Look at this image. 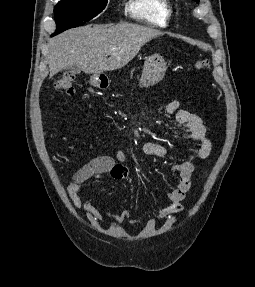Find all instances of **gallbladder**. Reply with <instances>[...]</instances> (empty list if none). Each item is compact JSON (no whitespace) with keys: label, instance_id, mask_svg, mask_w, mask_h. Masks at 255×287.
I'll list each match as a JSON object with an SVG mask.
<instances>
[{"label":"gallbladder","instance_id":"obj_1","mask_svg":"<svg viewBox=\"0 0 255 287\" xmlns=\"http://www.w3.org/2000/svg\"><path fill=\"white\" fill-rule=\"evenodd\" d=\"M65 70H68L70 74H80L82 68H80V66H69V68H65Z\"/></svg>","mask_w":255,"mask_h":287}]
</instances>
